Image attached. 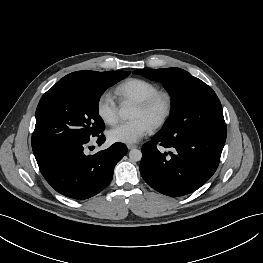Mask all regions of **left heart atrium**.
<instances>
[{
  "mask_svg": "<svg viewBox=\"0 0 263 263\" xmlns=\"http://www.w3.org/2000/svg\"><path fill=\"white\" fill-rule=\"evenodd\" d=\"M151 131L152 125L150 123L144 119H134L114 126L109 130L108 137L112 142L134 144Z\"/></svg>",
  "mask_w": 263,
  "mask_h": 263,
  "instance_id": "39dd6f15",
  "label": "left heart atrium"
}]
</instances>
